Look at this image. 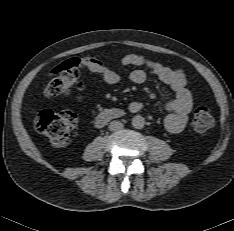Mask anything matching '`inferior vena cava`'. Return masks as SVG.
Returning a JSON list of instances; mask_svg holds the SVG:
<instances>
[{"mask_svg":"<svg viewBox=\"0 0 234 231\" xmlns=\"http://www.w3.org/2000/svg\"><path fill=\"white\" fill-rule=\"evenodd\" d=\"M123 127H124L123 123L120 122V121H116V120L110 122V124H109V129H110L111 131H119V130H121Z\"/></svg>","mask_w":234,"mask_h":231,"instance_id":"1","label":"inferior vena cava"}]
</instances>
